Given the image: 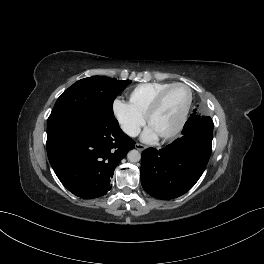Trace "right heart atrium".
Listing matches in <instances>:
<instances>
[{"instance_id":"right-heart-atrium-1","label":"right heart atrium","mask_w":264,"mask_h":264,"mask_svg":"<svg viewBox=\"0 0 264 264\" xmlns=\"http://www.w3.org/2000/svg\"><path fill=\"white\" fill-rule=\"evenodd\" d=\"M113 112L120 128L126 135L134 137L138 134L144 123V119L129 103L123 100H115L113 103Z\"/></svg>"}]
</instances>
